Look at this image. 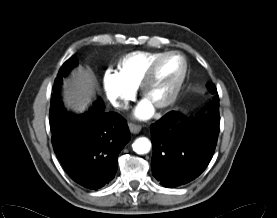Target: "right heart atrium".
Segmentation results:
<instances>
[{
    "mask_svg": "<svg viewBox=\"0 0 277 218\" xmlns=\"http://www.w3.org/2000/svg\"><path fill=\"white\" fill-rule=\"evenodd\" d=\"M103 88L107 99L116 108H125L133 98L135 90L127 85L119 73L107 69L103 75Z\"/></svg>",
    "mask_w": 277,
    "mask_h": 218,
    "instance_id": "right-heart-atrium-1",
    "label": "right heart atrium"
}]
</instances>
